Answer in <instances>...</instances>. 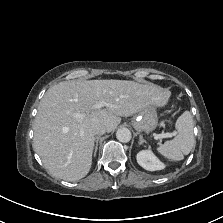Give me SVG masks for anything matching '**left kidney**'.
<instances>
[{"label":"left kidney","instance_id":"5707ae66","mask_svg":"<svg viewBox=\"0 0 223 223\" xmlns=\"http://www.w3.org/2000/svg\"><path fill=\"white\" fill-rule=\"evenodd\" d=\"M138 164L148 171H157L165 168V165L154 155L151 150H142L136 156Z\"/></svg>","mask_w":223,"mask_h":223}]
</instances>
